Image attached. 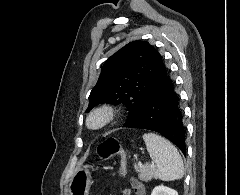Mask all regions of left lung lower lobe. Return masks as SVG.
I'll list each match as a JSON object with an SVG mask.
<instances>
[{
	"label": "left lung lower lobe",
	"mask_w": 240,
	"mask_h": 195,
	"mask_svg": "<svg viewBox=\"0 0 240 195\" xmlns=\"http://www.w3.org/2000/svg\"><path fill=\"white\" fill-rule=\"evenodd\" d=\"M123 127L158 132L172 141L185 154V130L182 122V112L178 95L169 75L139 112Z\"/></svg>",
	"instance_id": "1"
}]
</instances>
